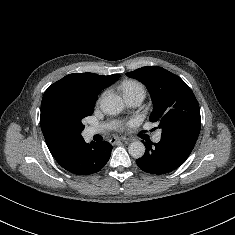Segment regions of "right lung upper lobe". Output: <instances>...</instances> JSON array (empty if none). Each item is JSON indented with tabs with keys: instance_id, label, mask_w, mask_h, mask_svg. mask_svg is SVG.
<instances>
[{
	"instance_id": "obj_1",
	"label": "right lung upper lobe",
	"mask_w": 235,
	"mask_h": 235,
	"mask_svg": "<svg viewBox=\"0 0 235 235\" xmlns=\"http://www.w3.org/2000/svg\"><path fill=\"white\" fill-rule=\"evenodd\" d=\"M119 77V74L103 76L93 73H73L47 88L41 102L40 124L46 144L54 157L61 154L75 140H60L50 129L47 116L52 104L57 99L70 95L97 99L99 92L113 84Z\"/></svg>"
}]
</instances>
